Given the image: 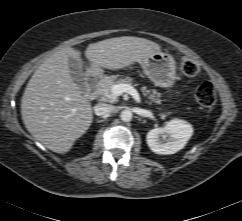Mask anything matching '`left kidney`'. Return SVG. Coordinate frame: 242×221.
<instances>
[{
	"mask_svg": "<svg viewBox=\"0 0 242 221\" xmlns=\"http://www.w3.org/2000/svg\"><path fill=\"white\" fill-rule=\"evenodd\" d=\"M192 135L191 124L185 120L173 119L163 128L150 130L146 135V141L154 153L168 155L183 149Z\"/></svg>",
	"mask_w": 242,
	"mask_h": 221,
	"instance_id": "left-kidney-1",
	"label": "left kidney"
}]
</instances>
